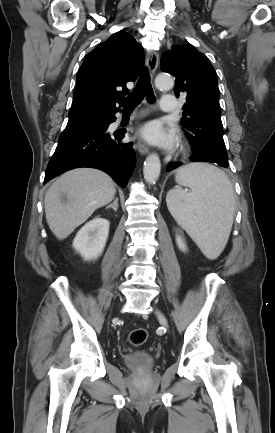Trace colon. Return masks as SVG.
Instances as JSON below:
<instances>
[{"label": "colon", "instance_id": "colon-1", "mask_svg": "<svg viewBox=\"0 0 275 433\" xmlns=\"http://www.w3.org/2000/svg\"><path fill=\"white\" fill-rule=\"evenodd\" d=\"M148 339V332L144 328L134 329L129 335V342L133 347L142 346Z\"/></svg>", "mask_w": 275, "mask_h": 433}]
</instances>
